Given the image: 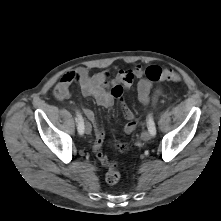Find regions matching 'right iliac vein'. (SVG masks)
Here are the masks:
<instances>
[{
    "label": "right iliac vein",
    "instance_id": "obj_1",
    "mask_svg": "<svg viewBox=\"0 0 221 221\" xmlns=\"http://www.w3.org/2000/svg\"><path fill=\"white\" fill-rule=\"evenodd\" d=\"M91 131H92V127H91L90 123L87 122L85 124V132H86V134H90Z\"/></svg>",
    "mask_w": 221,
    "mask_h": 221
}]
</instances>
